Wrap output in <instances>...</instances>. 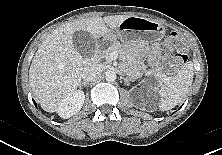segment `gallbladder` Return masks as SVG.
Masks as SVG:
<instances>
[{
	"mask_svg": "<svg viewBox=\"0 0 222 155\" xmlns=\"http://www.w3.org/2000/svg\"><path fill=\"white\" fill-rule=\"evenodd\" d=\"M75 49L83 57H91L95 52V39L86 31H77L72 36Z\"/></svg>",
	"mask_w": 222,
	"mask_h": 155,
	"instance_id": "obj_1",
	"label": "gallbladder"
}]
</instances>
